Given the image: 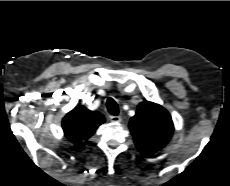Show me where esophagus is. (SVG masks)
I'll return each instance as SVG.
<instances>
[{"label":"esophagus","mask_w":230,"mask_h":186,"mask_svg":"<svg viewBox=\"0 0 230 186\" xmlns=\"http://www.w3.org/2000/svg\"><path fill=\"white\" fill-rule=\"evenodd\" d=\"M110 120L114 123H118L120 122L122 119H121V116H110Z\"/></svg>","instance_id":"1"}]
</instances>
